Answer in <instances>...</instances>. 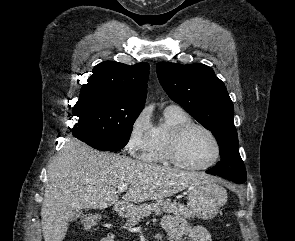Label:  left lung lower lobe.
I'll list each match as a JSON object with an SVG mask.
<instances>
[{"instance_id": "left-lung-lower-lobe-1", "label": "left lung lower lobe", "mask_w": 295, "mask_h": 241, "mask_svg": "<svg viewBox=\"0 0 295 241\" xmlns=\"http://www.w3.org/2000/svg\"><path fill=\"white\" fill-rule=\"evenodd\" d=\"M206 173H208V174H213L210 170H208V171H206ZM235 183H241L240 181H236Z\"/></svg>"}]
</instances>
